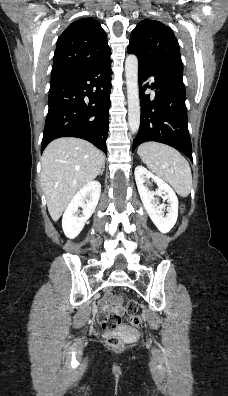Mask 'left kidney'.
<instances>
[{"instance_id":"left-kidney-1","label":"left kidney","mask_w":228,"mask_h":396,"mask_svg":"<svg viewBox=\"0 0 228 396\" xmlns=\"http://www.w3.org/2000/svg\"><path fill=\"white\" fill-rule=\"evenodd\" d=\"M134 175L140 198L149 217L160 232H169L175 225L178 217V198L174 190L166 182L141 165L135 168ZM149 179H152L156 183L158 186L157 190L151 191L145 185V183L149 182ZM156 195L167 200L169 203L166 216H164L163 211L166 205L160 204L158 198L155 197Z\"/></svg>"}]
</instances>
